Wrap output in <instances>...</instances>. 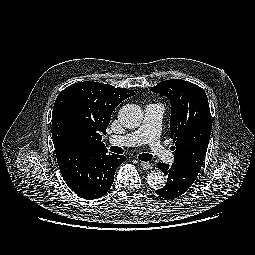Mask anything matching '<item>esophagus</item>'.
Instances as JSON below:
<instances>
[{
  "instance_id": "1",
  "label": "esophagus",
  "mask_w": 255,
  "mask_h": 255,
  "mask_svg": "<svg viewBox=\"0 0 255 255\" xmlns=\"http://www.w3.org/2000/svg\"><path fill=\"white\" fill-rule=\"evenodd\" d=\"M141 166L147 170H151L153 168V164L150 162H141Z\"/></svg>"
}]
</instances>
